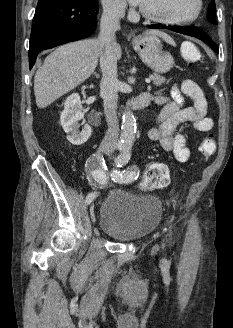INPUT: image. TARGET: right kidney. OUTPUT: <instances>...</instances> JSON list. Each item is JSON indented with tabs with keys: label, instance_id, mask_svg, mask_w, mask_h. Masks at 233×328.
<instances>
[{
	"label": "right kidney",
	"instance_id": "1",
	"mask_svg": "<svg viewBox=\"0 0 233 328\" xmlns=\"http://www.w3.org/2000/svg\"><path fill=\"white\" fill-rule=\"evenodd\" d=\"M83 120L84 127L78 131V122ZM60 123L67 139L73 145L84 144L91 136L92 129L85 124L84 113L82 112V103L78 93L71 94L64 103V110L60 115Z\"/></svg>",
	"mask_w": 233,
	"mask_h": 328
}]
</instances>
